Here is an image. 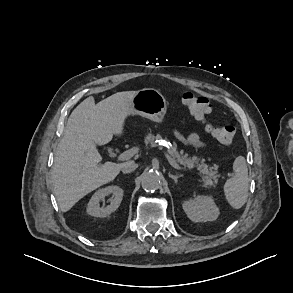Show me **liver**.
I'll return each mask as SVG.
<instances>
[{"label":"liver","mask_w":293,"mask_h":293,"mask_svg":"<svg viewBox=\"0 0 293 293\" xmlns=\"http://www.w3.org/2000/svg\"><path fill=\"white\" fill-rule=\"evenodd\" d=\"M135 93L118 92L97 104L88 97L72 111L51 170L53 191L62 212L118 175L122 164H101L96 146L109 143L113 135L124 134Z\"/></svg>","instance_id":"6515ba94"}]
</instances>
